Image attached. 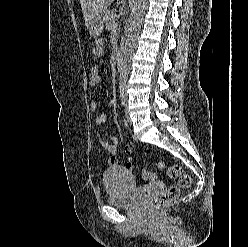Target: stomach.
Returning a JSON list of instances; mask_svg holds the SVG:
<instances>
[{
    "instance_id": "1",
    "label": "stomach",
    "mask_w": 248,
    "mask_h": 247,
    "mask_svg": "<svg viewBox=\"0 0 248 247\" xmlns=\"http://www.w3.org/2000/svg\"><path fill=\"white\" fill-rule=\"evenodd\" d=\"M106 11L99 14L96 18L93 19V21L91 22V24L88 27L89 30V34L91 37H98L104 28V15H105Z\"/></svg>"
}]
</instances>
